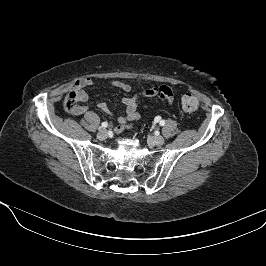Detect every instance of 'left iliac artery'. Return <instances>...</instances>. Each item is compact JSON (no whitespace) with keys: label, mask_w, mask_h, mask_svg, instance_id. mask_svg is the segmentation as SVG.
<instances>
[{"label":"left iliac artery","mask_w":266,"mask_h":266,"mask_svg":"<svg viewBox=\"0 0 266 266\" xmlns=\"http://www.w3.org/2000/svg\"><path fill=\"white\" fill-rule=\"evenodd\" d=\"M161 126H163L165 124V121L164 120H161L160 123H159Z\"/></svg>","instance_id":"obj_1"}]
</instances>
